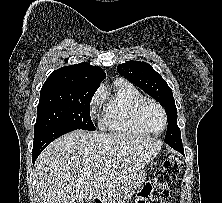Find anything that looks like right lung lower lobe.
Returning <instances> with one entry per match:
<instances>
[{"label":"right lung lower lobe","instance_id":"98d812e1","mask_svg":"<svg viewBox=\"0 0 222 203\" xmlns=\"http://www.w3.org/2000/svg\"><path fill=\"white\" fill-rule=\"evenodd\" d=\"M76 130L73 127H55L34 133V144L32 150L33 163L37 159L42 150L56 138L70 131Z\"/></svg>","mask_w":222,"mask_h":203}]
</instances>
